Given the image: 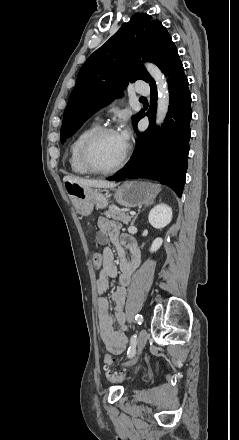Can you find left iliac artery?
<instances>
[{"mask_svg": "<svg viewBox=\"0 0 239 440\" xmlns=\"http://www.w3.org/2000/svg\"><path fill=\"white\" fill-rule=\"evenodd\" d=\"M135 321H136V323H138L139 325L140 324H142L143 323V317H142V315H136L135 316ZM136 344H137V336L136 335H133L132 337H131V339H130V347H129V349H128V352H127V356L129 357V358H132L134 355H135V353H136Z\"/></svg>", "mask_w": 239, "mask_h": 440, "instance_id": "obj_1", "label": "left iliac artery"}]
</instances>
